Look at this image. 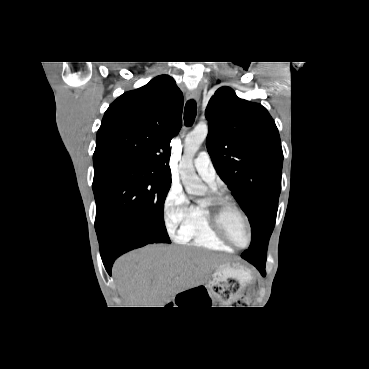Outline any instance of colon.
I'll return each mask as SVG.
<instances>
[{
    "instance_id": "obj_1",
    "label": "colon",
    "mask_w": 369,
    "mask_h": 369,
    "mask_svg": "<svg viewBox=\"0 0 369 369\" xmlns=\"http://www.w3.org/2000/svg\"><path fill=\"white\" fill-rule=\"evenodd\" d=\"M251 300V292H248L246 295L242 296L236 303V307L246 306Z\"/></svg>"
}]
</instances>
